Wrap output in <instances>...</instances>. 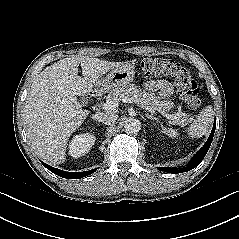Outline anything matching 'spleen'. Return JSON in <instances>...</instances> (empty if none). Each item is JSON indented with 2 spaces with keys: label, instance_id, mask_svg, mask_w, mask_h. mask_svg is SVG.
I'll use <instances>...</instances> for the list:
<instances>
[{
  "label": "spleen",
  "instance_id": "spleen-1",
  "mask_svg": "<svg viewBox=\"0 0 239 239\" xmlns=\"http://www.w3.org/2000/svg\"><path fill=\"white\" fill-rule=\"evenodd\" d=\"M213 108L211 105L206 106L198 115L197 119L189 126L187 133L190 137H201L205 135L210 128L213 121ZM168 137L176 138L178 137V132L173 128L163 129Z\"/></svg>",
  "mask_w": 239,
  "mask_h": 239
}]
</instances>
